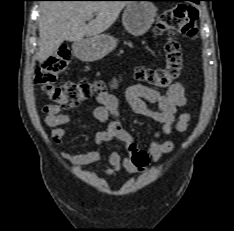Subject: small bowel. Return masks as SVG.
I'll list each match as a JSON object with an SVG mask.
<instances>
[{
	"label": "small bowel",
	"instance_id": "c3829d8e",
	"mask_svg": "<svg viewBox=\"0 0 234 231\" xmlns=\"http://www.w3.org/2000/svg\"><path fill=\"white\" fill-rule=\"evenodd\" d=\"M125 98L136 114L161 125L160 129L153 133L152 140L147 142V150L151 159L158 161L164 154L174 149L171 141L160 139L169 135L174 126L178 132H184L190 122L188 114H178L179 108L187 102L183 84L175 82L166 94H160L152 88L135 84L126 89ZM96 101L98 106L93 111L94 117L107 124L103 130L95 134L96 143L103 145L118 140L128 147L133 142V137L122 127L118 99L110 93H101ZM148 103L153 104L155 109L149 108ZM44 112L46 114L44 122L51 130V139L54 144L59 145L71 129L68 126L71 116L61 114L53 105L45 106ZM63 158L74 165H92L102 160V154L99 150H92L79 154H63ZM107 161L111 166L105 171L108 176L117 174L122 168L129 172L136 170L129 157L127 155L123 157L117 151H111L107 156Z\"/></svg>",
	"mask_w": 234,
	"mask_h": 231
}]
</instances>
